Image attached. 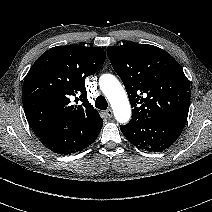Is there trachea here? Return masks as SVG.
Segmentation results:
<instances>
[{
	"label": "trachea",
	"mask_w": 212,
	"mask_h": 212,
	"mask_svg": "<svg viewBox=\"0 0 212 212\" xmlns=\"http://www.w3.org/2000/svg\"><path fill=\"white\" fill-rule=\"evenodd\" d=\"M96 108L100 110H106L108 107V103L104 96H98L95 101Z\"/></svg>",
	"instance_id": "obj_1"
}]
</instances>
